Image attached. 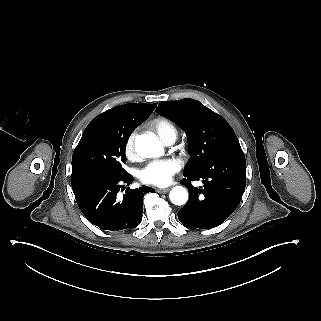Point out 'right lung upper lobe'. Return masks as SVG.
I'll use <instances>...</instances> for the list:
<instances>
[{
	"mask_svg": "<svg viewBox=\"0 0 321 321\" xmlns=\"http://www.w3.org/2000/svg\"><path fill=\"white\" fill-rule=\"evenodd\" d=\"M155 107L156 104H126L113 107L102 115L108 116L115 123L138 126L148 118Z\"/></svg>",
	"mask_w": 321,
	"mask_h": 321,
	"instance_id": "right-lung-upper-lobe-1",
	"label": "right lung upper lobe"
}]
</instances>
